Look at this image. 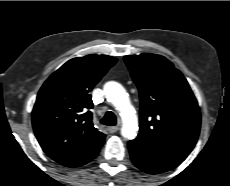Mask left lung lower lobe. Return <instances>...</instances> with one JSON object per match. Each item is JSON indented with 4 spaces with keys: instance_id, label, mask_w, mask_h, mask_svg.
<instances>
[{
    "instance_id": "1",
    "label": "left lung lower lobe",
    "mask_w": 230,
    "mask_h": 186,
    "mask_svg": "<svg viewBox=\"0 0 230 186\" xmlns=\"http://www.w3.org/2000/svg\"><path fill=\"white\" fill-rule=\"evenodd\" d=\"M133 164L142 171L157 174L177 167L188 156L175 150L156 147L137 138L128 142Z\"/></svg>"
}]
</instances>
